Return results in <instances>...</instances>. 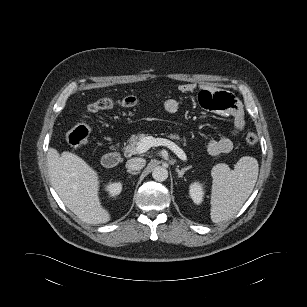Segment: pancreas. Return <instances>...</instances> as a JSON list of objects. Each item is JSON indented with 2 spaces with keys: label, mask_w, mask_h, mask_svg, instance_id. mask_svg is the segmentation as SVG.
<instances>
[{
  "label": "pancreas",
  "mask_w": 307,
  "mask_h": 307,
  "mask_svg": "<svg viewBox=\"0 0 307 307\" xmlns=\"http://www.w3.org/2000/svg\"><path fill=\"white\" fill-rule=\"evenodd\" d=\"M145 135L144 134H137V135H132L129 140H128V144L125 146L124 148V155L126 157H130L132 155H135L138 153L137 151V145L138 143L141 141L142 138H144ZM168 137L172 140H181L178 134H170L168 135Z\"/></svg>",
  "instance_id": "cf45deb5"
}]
</instances>
